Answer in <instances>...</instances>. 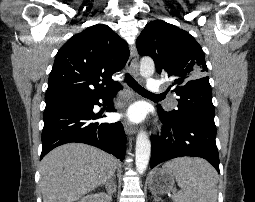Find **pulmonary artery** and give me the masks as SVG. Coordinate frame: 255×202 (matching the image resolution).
<instances>
[{
	"label": "pulmonary artery",
	"instance_id": "e3ab8cb5",
	"mask_svg": "<svg viewBox=\"0 0 255 202\" xmlns=\"http://www.w3.org/2000/svg\"><path fill=\"white\" fill-rule=\"evenodd\" d=\"M161 82L159 80H156V79H153V78H149L147 80V90L149 92H152V93H157V92H160L161 91ZM172 105H174V103H172Z\"/></svg>",
	"mask_w": 255,
	"mask_h": 202
}]
</instances>
